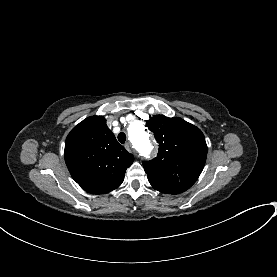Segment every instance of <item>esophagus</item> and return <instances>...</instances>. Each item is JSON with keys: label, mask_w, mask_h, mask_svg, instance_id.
Segmentation results:
<instances>
[{"label": "esophagus", "mask_w": 277, "mask_h": 277, "mask_svg": "<svg viewBox=\"0 0 277 277\" xmlns=\"http://www.w3.org/2000/svg\"><path fill=\"white\" fill-rule=\"evenodd\" d=\"M125 148H126L127 151H131V144L129 142H127L125 144Z\"/></svg>", "instance_id": "34e87169"}]
</instances>
